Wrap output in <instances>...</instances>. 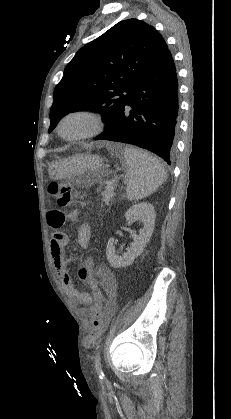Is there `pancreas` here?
<instances>
[{
  "mask_svg": "<svg viewBox=\"0 0 231 419\" xmlns=\"http://www.w3.org/2000/svg\"><path fill=\"white\" fill-rule=\"evenodd\" d=\"M114 197V190L113 188H107L102 192V201L105 204H109V202L112 200V198Z\"/></svg>",
  "mask_w": 231,
  "mask_h": 419,
  "instance_id": "cf45deb5",
  "label": "pancreas"
}]
</instances>
